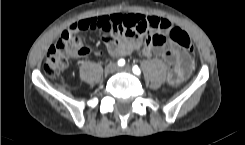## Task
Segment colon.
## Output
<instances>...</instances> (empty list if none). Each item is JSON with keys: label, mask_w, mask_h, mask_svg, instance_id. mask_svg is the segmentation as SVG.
<instances>
[{"label": "colon", "mask_w": 245, "mask_h": 145, "mask_svg": "<svg viewBox=\"0 0 245 145\" xmlns=\"http://www.w3.org/2000/svg\"><path fill=\"white\" fill-rule=\"evenodd\" d=\"M78 29L75 24L65 29L61 38L52 46L47 53L43 64V72L48 77L59 75L67 66L68 59L72 56H82L86 53L85 47H75L74 41ZM158 45L172 42L187 50L194 51V44L190 37L180 28L172 27L166 33H158L155 37Z\"/></svg>", "instance_id": "obj_1"}]
</instances>
